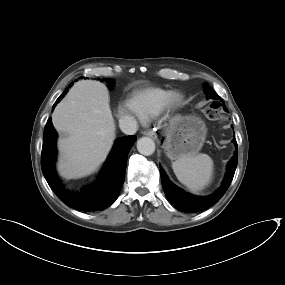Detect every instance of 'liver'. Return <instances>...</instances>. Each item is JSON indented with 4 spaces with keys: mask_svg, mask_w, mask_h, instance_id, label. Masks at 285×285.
I'll use <instances>...</instances> for the list:
<instances>
[{
    "mask_svg": "<svg viewBox=\"0 0 285 285\" xmlns=\"http://www.w3.org/2000/svg\"><path fill=\"white\" fill-rule=\"evenodd\" d=\"M60 138L58 169L67 179L95 171L106 159L115 139V122L106 86L94 80L74 84L52 114Z\"/></svg>",
    "mask_w": 285,
    "mask_h": 285,
    "instance_id": "6515ba94",
    "label": "liver"
}]
</instances>
